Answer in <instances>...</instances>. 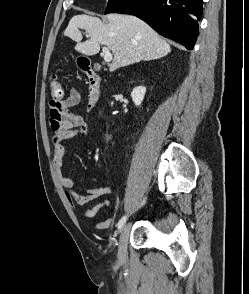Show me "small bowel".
<instances>
[{
  "mask_svg": "<svg viewBox=\"0 0 249 294\" xmlns=\"http://www.w3.org/2000/svg\"><path fill=\"white\" fill-rule=\"evenodd\" d=\"M80 100V91L76 87H71L68 95L62 101L50 102L49 104L50 123L54 130L52 137L53 164L64 194L74 209L88 204L94 199L111 192L110 185H103L100 187H84V194H79L74 191L76 181L64 174V142L69 139L89 134V125L85 122L83 117L69 111L71 107L78 105ZM115 203V199H104L93 205L91 208L84 210L82 216L85 219H93L100 211ZM111 224L112 218H107L103 221L97 222L94 227L98 230H104L109 228Z\"/></svg>",
  "mask_w": 249,
  "mask_h": 294,
  "instance_id": "obj_1",
  "label": "small bowel"
}]
</instances>
